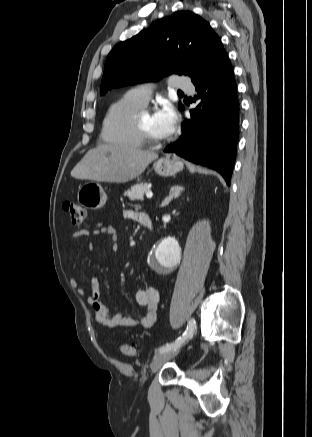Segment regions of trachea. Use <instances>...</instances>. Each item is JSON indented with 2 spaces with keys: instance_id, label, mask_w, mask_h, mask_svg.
<instances>
[{
  "instance_id": "3493384b",
  "label": "trachea",
  "mask_w": 312,
  "mask_h": 437,
  "mask_svg": "<svg viewBox=\"0 0 312 437\" xmlns=\"http://www.w3.org/2000/svg\"><path fill=\"white\" fill-rule=\"evenodd\" d=\"M178 94H183V92H182V91H180V90H178Z\"/></svg>"
}]
</instances>
